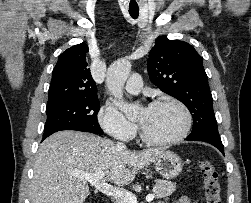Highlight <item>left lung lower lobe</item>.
I'll return each instance as SVG.
<instances>
[{
    "label": "left lung lower lobe",
    "mask_w": 251,
    "mask_h": 203,
    "mask_svg": "<svg viewBox=\"0 0 251 203\" xmlns=\"http://www.w3.org/2000/svg\"><path fill=\"white\" fill-rule=\"evenodd\" d=\"M186 140L208 142V143L212 144L213 146H215L216 148H218L222 152V154H224V148H223V144L221 142L220 137H210V136L191 137V136H188Z\"/></svg>",
    "instance_id": "1"
}]
</instances>
